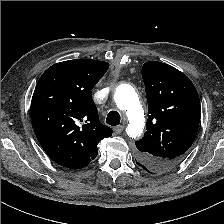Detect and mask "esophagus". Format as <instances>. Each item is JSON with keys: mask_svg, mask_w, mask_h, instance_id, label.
<instances>
[{"mask_svg": "<svg viewBox=\"0 0 224 224\" xmlns=\"http://www.w3.org/2000/svg\"><path fill=\"white\" fill-rule=\"evenodd\" d=\"M123 129H124V126H122V125L116 126V127H114V132L116 134H120L123 131Z\"/></svg>", "mask_w": 224, "mask_h": 224, "instance_id": "obj_1", "label": "esophagus"}]
</instances>
